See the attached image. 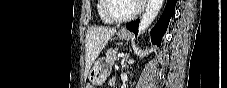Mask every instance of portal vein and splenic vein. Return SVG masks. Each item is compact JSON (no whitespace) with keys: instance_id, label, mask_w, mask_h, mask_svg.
<instances>
[{"instance_id":"18ae733b","label":"portal vein and splenic vein","mask_w":227,"mask_h":88,"mask_svg":"<svg viewBox=\"0 0 227 88\" xmlns=\"http://www.w3.org/2000/svg\"><path fill=\"white\" fill-rule=\"evenodd\" d=\"M124 56H125L124 53H119V54H118V57H119V58H123Z\"/></svg>"}]
</instances>
